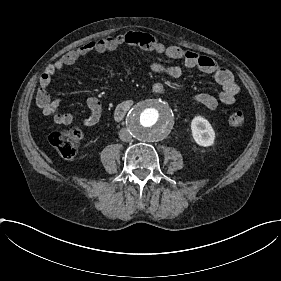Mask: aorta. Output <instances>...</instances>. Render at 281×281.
<instances>
[{
	"label": "aorta",
	"instance_id": "obj_1",
	"mask_svg": "<svg viewBox=\"0 0 281 281\" xmlns=\"http://www.w3.org/2000/svg\"><path fill=\"white\" fill-rule=\"evenodd\" d=\"M174 115L168 105L153 99L138 102L127 116L128 130L144 142L163 140L171 132Z\"/></svg>",
	"mask_w": 281,
	"mask_h": 281
}]
</instances>
